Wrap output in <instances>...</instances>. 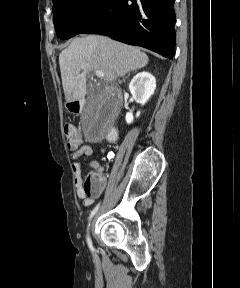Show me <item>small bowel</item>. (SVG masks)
I'll use <instances>...</instances> for the list:
<instances>
[{
    "label": "small bowel",
    "instance_id": "obj_1",
    "mask_svg": "<svg viewBox=\"0 0 240 288\" xmlns=\"http://www.w3.org/2000/svg\"><path fill=\"white\" fill-rule=\"evenodd\" d=\"M101 152L104 154L105 150L101 149ZM93 153V149L91 145L84 144L80 146L78 149H76L70 156L71 161H72V171L74 175V187L76 190V193L79 198L83 199V203L85 206H91L94 203V199L99 197L102 192L104 191L106 187V178L103 174V167L100 165L98 161H91L88 166L91 169V172L89 175L94 176L96 179H98L99 184H100V189L99 192L92 196V197H87L84 194L83 191V179H82V165L80 162V158L82 156H91ZM108 156H111V154H108Z\"/></svg>",
    "mask_w": 240,
    "mask_h": 288
}]
</instances>
